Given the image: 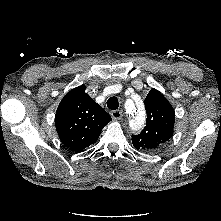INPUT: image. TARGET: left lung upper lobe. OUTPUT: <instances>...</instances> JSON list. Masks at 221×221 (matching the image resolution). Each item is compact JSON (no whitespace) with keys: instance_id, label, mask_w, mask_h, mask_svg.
<instances>
[{"instance_id":"obj_1","label":"left lung upper lobe","mask_w":221,"mask_h":221,"mask_svg":"<svg viewBox=\"0 0 221 221\" xmlns=\"http://www.w3.org/2000/svg\"><path fill=\"white\" fill-rule=\"evenodd\" d=\"M146 126L138 135H132L137 150L155 152L173 136L175 111L169 101L156 89H151L145 99Z\"/></svg>"}]
</instances>
